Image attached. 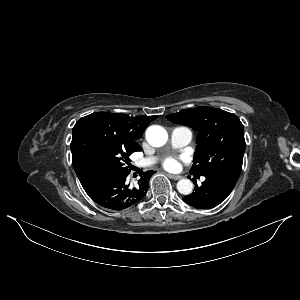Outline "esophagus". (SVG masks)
<instances>
[{"label": "esophagus", "instance_id": "34e87169", "mask_svg": "<svg viewBox=\"0 0 300 300\" xmlns=\"http://www.w3.org/2000/svg\"><path fill=\"white\" fill-rule=\"evenodd\" d=\"M169 177L172 178V179H174V180H179V179L182 178L181 175H174V174H169Z\"/></svg>", "mask_w": 300, "mask_h": 300}]
</instances>
